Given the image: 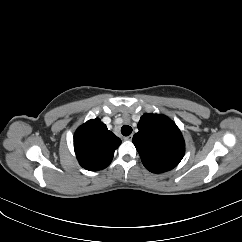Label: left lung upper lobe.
I'll use <instances>...</instances> for the list:
<instances>
[{
	"instance_id": "left-lung-upper-lobe-1",
	"label": "left lung upper lobe",
	"mask_w": 242,
	"mask_h": 242,
	"mask_svg": "<svg viewBox=\"0 0 242 242\" xmlns=\"http://www.w3.org/2000/svg\"><path fill=\"white\" fill-rule=\"evenodd\" d=\"M138 129L132 141L146 169L163 173L179 164L185 153V143L171 119L159 114H144Z\"/></svg>"
}]
</instances>
